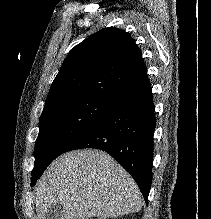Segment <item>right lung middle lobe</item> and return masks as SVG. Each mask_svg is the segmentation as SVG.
Listing matches in <instances>:
<instances>
[{"mask_svg":"<svg viewBox=\"0 0 211 219\" xmlns=\"http://www.w3.org/2000/svg\"><path fill=\"white\" fill-rule=\"evenodd\" d=\"M115 105L98 97H81L60 101L45 108L39 121L31 185L79 135Z\"/></svg>","mask_w":211,"mask_h":219,"instance_id":"1","label":"right lung middle lobe"}]
</instances>
